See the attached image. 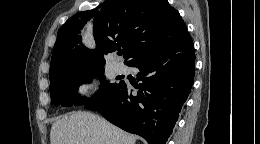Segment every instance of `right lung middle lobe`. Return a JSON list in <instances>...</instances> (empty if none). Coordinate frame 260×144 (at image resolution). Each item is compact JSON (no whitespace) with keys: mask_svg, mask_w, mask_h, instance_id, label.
I'll return each instance as SVG.
<instances>
[{"mask_svg":"<svg viewBox=\"0 0 260 144\" xmlns=\"http://www.w3.org/2000/svg\"><path fill=\"white\" fill-rule=\"evenodd\" d=\"M104 66H94L82 69L63 71L50 76V96L55 106L86 105L106 96L113 91L119 83H111L105 80ZM97 77L101 80L100 90L91 98H81L78 87L82 83L90 82Z\"/></svg>","mask_w":260,"mask_h":144,"instance_id":"obj_1","label":"right lung middle lobe"}]
</instances>
